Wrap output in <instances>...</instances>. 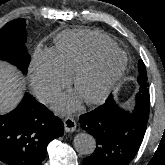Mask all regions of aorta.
I'll list each match as a JSON object with an SVG mask.
<instances>
[{
	"instance_id": "1",
	"label": "aorta",
	"mask_w": 165,
	"mask_h": 165,
	"mask_svg": "<svg viewBox=\"0 0 165 165\" xmlns=\"http://www.w3.org/2000/svg\"><path fill=\"white\" fill-rule=\"evenodd\" d=\"M75 150L82 155H90L96 148L95 138L88 133L77 134L73 141Z\"/></svg>"
}]
</instances>
